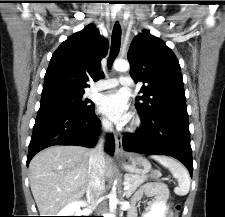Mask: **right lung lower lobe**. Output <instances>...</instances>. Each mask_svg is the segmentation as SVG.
<instances>
[{"mask_svg": "<svg viewBox=\"0 0 225 217\" xmlns=\"http://www.w3.org/2000/svg\"><path fill=\"white\" fill-rule=\"evenodd\" d=\"M100 131V121L94 108L85 112L49 107L40 108L29 144L27 165L35 154L53 145L93 147ZM115 141L107 136L105 150L113 155Z\"/></svg>", "mask_w": 225, "mask_h": 217, "instance_id": "98d812e1", "label": "right lung lower lobe"}]
</instances>
